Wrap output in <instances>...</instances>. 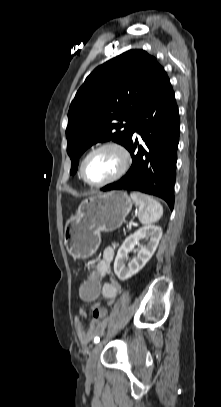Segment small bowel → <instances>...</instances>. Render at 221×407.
<instances>
[{
  "label": "small bowel",
  "instance_id": "1",
  "mask_svg": "<svg viewBox=\"0 0 221 407\" xmlns=\"http://www.w3.org/2000/svg\"><path fill=\"white\" fill-rule=\"evenodd\" d=\"M115 256V251L113 247H107L103 253L102 257L99 262L96 264L94 271L98 272V277L101 279L102 290L99 292L100 296H103L107 300L108 305H112L114 303L115 298L120 292V284L119 282L110 276L111 274V264ZM110 276L108 281H104V279ZM100 300L92 301L91 302V309L94 310L96 305H100ZM79 317H76L75 327L77 330L78 338L81 344L87 345L89 344L92 339L101 333L106 327V320L105 318L96 319L94 318L88 326H85L82 318L86 317V312L84 309L79 310Z\"/></svg>",
  "mask_w": 221,
  "mask_h": 407
}]
</instances>
